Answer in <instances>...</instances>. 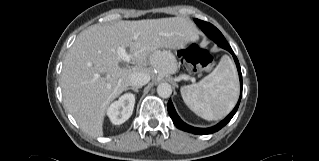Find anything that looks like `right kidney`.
<instances>
[{
    "mask_svg": "<svg viewBox=\"0 0 319 161\" xmlns=\"http://www.w3.org/2000/svg\"><path fill=\"white\" fill-rule=\"evenodd\" d=\"M135 104V96L131 93L122 95L107 109V115L111 122L120 125L130 118Z\"/></svg>",
    "mask_w": 319,
    "mask_h": 161,
    "instance_id": "obj_1",
    "label": "right kidney"
}]
</instances>
